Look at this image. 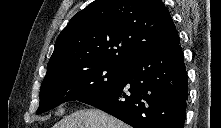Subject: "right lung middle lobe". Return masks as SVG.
I'll return each mask as SVG.
<instances>
[{
    "instance_id": "obj_1",
    "label": "right lung middle lobe",
    "mask_w": 221,
    "mask_h": 128,
    "mask_svg": "<svg viewBox=\"0 0 221 128\" xmlns=\"http://www.w3.org/2000/svg\"><path fill=\"white\" fill-rule=\"evenodd\" d=\"M127 66L102 63L65 65L48 72L40 90L37 114L72 100L83 101L119 82Z\"/></svg>"
}]
</instances>
